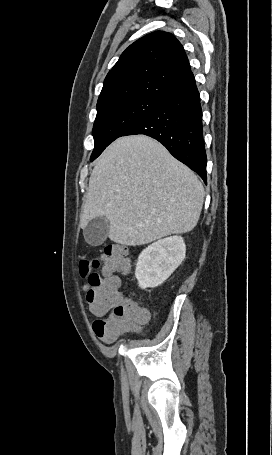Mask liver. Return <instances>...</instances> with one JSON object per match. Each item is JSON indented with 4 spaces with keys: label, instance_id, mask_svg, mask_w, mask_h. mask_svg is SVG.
<instances>
[{
    "label": "liver",
    "instance_id": "liver-1",
    "mask_svg": "<svg viewBox=\"0 0 272 455\" xmlns=\"http://www.w3.org/2000/svg\"><path fill=\"white\" fill-rule=\"evenodd\" d=\"M204 188L197 176L156 140L121 137L98 159L89 179L81 226L105 217L111 241L138 246L191 231Z\"/></svg>",
    "mask_w": 272,
    "mask_h": 455
}]
</instances>
